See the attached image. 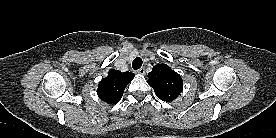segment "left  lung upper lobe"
I'll return each mask as SVG.
<instances>
[{"label": "left lung upper lobe", "instance_id": "obj_1", "mask_svg": "<svg viewBox=\"0 0 276 138\" xmlns=\"http://www.w3.org/2000/svg\"><path fill=\"white\" fill-rule=\"evenodd\" d=\"M148 84L154 89L157 97L171 102L181 93L183 84L181 76L166 64H157L148 74Z\"/></svg>", "mask_w": 276, "mask_h": 138}]
</instances>
